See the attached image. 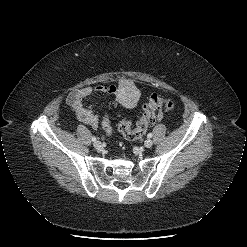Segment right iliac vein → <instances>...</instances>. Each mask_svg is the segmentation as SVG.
<instances>
[{"mask_svg": "<svg viewBox=\"0 0 247 247\" xmlns=\"http://www.w3.org/2000/svg\"><path fill=\"white\" fill-rule=\"evenodd\" d=\"M93 145L98 150L103 147V145H102V143L100 141H95Z\"/></svg>", "mask_w": 247, "mask_h": 247, "instance_id": "1", "label": "right iliac vein"}]
</instances>
